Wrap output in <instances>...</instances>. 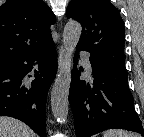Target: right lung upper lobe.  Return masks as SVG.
Wrapping results in <instances>:
<instances>
[{
  "label": "right lung upper lobe",
  "instance_id": "right-lung-upper-lobe-1",
  "mask_svg": "<svg viewBox=\"0 0 144 137\" xmlns=\"http://www.w3.org/2000/svg\"><path fill=\"white\" fill-rule=\"evenodd\" d=\"M54 22L43 0H7L0 7V68L47 44Z\"/></svg>",
  "mask_w": 144,
  "mask_h": 137
}]
</instances>
